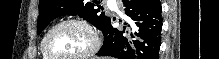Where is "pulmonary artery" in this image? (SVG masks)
<instances>
[{"label":"pulmonary artery","instance_id":"obj_1","mask_svg":"<svg viewBox=\"0 0 219 59\" xmlns=\"http://www.w3.org/2000/svg\"><path fill=\"white\" fill-rule=\"evenodd\" d=\"M116 3H118V2L117 1H108L107 2L109 8L114 10V11L118 10V5Z\"/></svg>","mask_w":219,"mask_h":59}]
</instances>
